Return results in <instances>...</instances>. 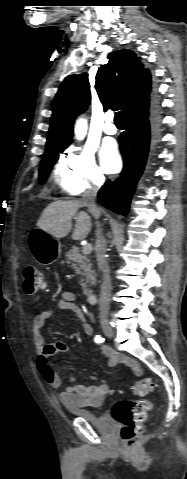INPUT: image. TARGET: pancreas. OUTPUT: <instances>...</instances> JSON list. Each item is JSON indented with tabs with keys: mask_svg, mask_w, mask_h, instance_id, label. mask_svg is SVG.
Returning <instances> with one entry per match:
<instances>
[{
	"mask_svg": "<svg viewBox=\"0 0 187 479\" xmlns=\"http://www.w3.org/2000/svg\"><path fill=\"white\" fill-rule=\"evenodd\" d=\"M67 258V264H71L72 268L78 272L81 278V286L83 288L84 294L89 292L88 284H93L95 277L92 274L90 259L79 253V248L73 246L71 250L67 251L65 254Z\"/></svg>",
	"mask_w": 187,
	"mask_h": 479,
	"instance_id": "obj_1",
	"label": "pancreas"
}]
</instances>
